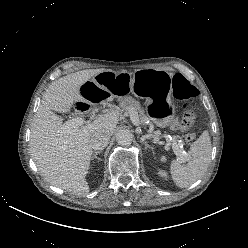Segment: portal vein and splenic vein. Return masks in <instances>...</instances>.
Masks as SVG:
<instances>
[{"instance_id": "1", "label": "portal vein and splenic vein", "mask_w": 248, "mask_h": 248, "mask_svg": "<svg viewBox=\"0 0 248 248\" xmlns=\"http://www.w3.org/2000/svg\"><path fill=\"white\" fill-rule=\"evenodd\" d=\"M129 115L132 123L136 126L139 125L140 122L138 113L135 110L131 109L129 111ZM84 122L85 121L82 118H73L71 120H68L62 125L61 133H71L76 130L80 125H83ZM171 145L176 155H180L183 157L187 156V152L182 150L176 142L171 143Z\"/></svg>"}]
</instances>
